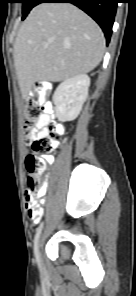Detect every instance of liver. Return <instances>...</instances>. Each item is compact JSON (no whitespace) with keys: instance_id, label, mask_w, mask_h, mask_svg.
Returning <instances> with one entry per match:
<instances>
[{"instance_id":"1","label":"liver","mask_w":136,"mask_h":296,"mask_svg":"<svg viewBox=\"0 0 136 296\" xmlns=\"http://www.w3.org/2000/svg\"><path fill=\"white\" fill-rule=\"evenodd\" d=\"M104 49L102 30L76 6L70 3L35 6L14 43V63L22 96H28L35 82H60L92 71L102 60Z\"/></svg>"}]
</instances>
